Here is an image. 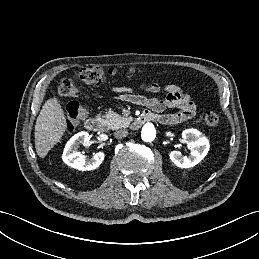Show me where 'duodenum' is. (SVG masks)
<instances>
[{
    "mask_svg": "<svg viewBox=\"0 0 259 259\" xmlns=\"http://www.w3.org/2000/svg\"><path fill=\"white\" fill-rule=\"evenodd\" d=\"M153 119V116L150 113H143L137 118L132 123V128L133 129H139L144 123L150 121ZM85 126L87 130L90 132L94 133H102L104 131V123L103 121L98 118V117H91L87 119L85 122Z\"/></svg>",
    "mask_w": 259,
    "mask_h": 259,
    "instance_id": "410a0bca",
    "label": "duodenum"
}]
</instances>
